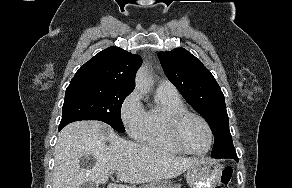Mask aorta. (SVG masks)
Returning <instances> with one entry per match:
<instances>
[{"mask_svg":"<svg viewBox=\"0 0 292 188\" xmlns=\"http://www.w3.org/2000/svg\"><path fill=\"white\" fill-rule=\"evenodd\" d=\"M136 88L143 91L147 92L151 86V80L148 77L147 73V68L146 67H141L136 75Z\"/></svg>","mask_w":292,"mask_h":188,"instance_id":"762f6f07","label":"aorta"}]
</instances>
